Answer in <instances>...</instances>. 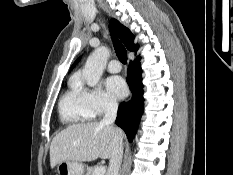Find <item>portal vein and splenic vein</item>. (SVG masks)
<instances>
[{"label":"portal vein and splenic vein","instance_id":"portal-vein-and-splenic-vein-1","mask_svg":"<svg viewBox=\"0 0 233 175\" xmlns=\"http://www.w3.org/2000/svg\"><path fill=\"white\" fill-rule=\"evenodd\" d=\"M106 172L105 166H99L95 169L94 175H104Z\"/></svg>","mask_w":233,"mask_h":175}]
</instances>
